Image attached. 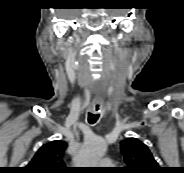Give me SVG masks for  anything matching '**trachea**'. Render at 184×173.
Here are the masks:
<instances>
[{
    "label": "trachea",
    "mask_w": 184,
    "mask_h": 173,
    "mask_svg": "<svg viewBox=\"0 0 184 173\" xmlns=\"http://www.w3.org/2000/svg\"><path fill=\"white\" fill-rule=\"evenodd\" d=\"M98 118H99V115L98 114H92V113H89L88 114V122L90 123V124H94V123H96V121L98 120Z\"/></svg>",
    "instance_id": "3493384b"
}]
</instances>
